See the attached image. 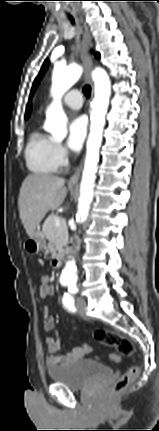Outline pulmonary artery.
Instances as JSON below:
<instances>
[{
    "label": "pulmonary artery",
    "instance_id": "e3ab8cb5",
    "mask_svg": "<svg viewBox=\"0 0 159 431\" xmlns=\"http://www.w3.org/2000/svg\"><path fill=\"white\" fill-rule=\"evenodd\" d=\"M63 103L71 109H80L83 104L81 92L77 89L70 90L63 97Z\"/></svg>",
    "mask_w": 159,
    "mask_h": 431
}]
</instances>
